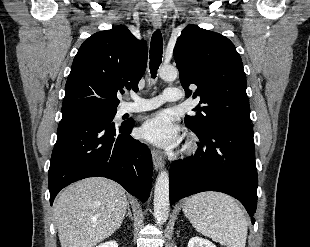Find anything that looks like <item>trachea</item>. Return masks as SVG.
Segmentation results:
<instances>
[{"mask_svg": "<svg viewBox=\"0 0 310 247\" xmlns=\"http://www.w3.org/2000/svg\"><path fill=\"white\" fill-rule=\"evenodd\" d=\"M163 38L159 30H156L150 43V72L152 78L156 77L157 70L162 62Z\"/></svg>", "mask_w": 310, "mask_h": 247, "instance_id": "obj_1", "label": "trachea"}]
</instances>
